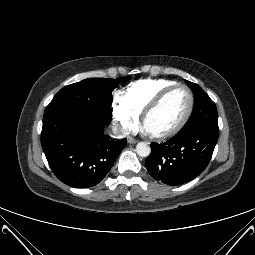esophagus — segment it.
Returning <instances> with one entry per match:
<instances>
[{
    "instance_id": "obj_1",
    "label": "esophagus",
    "mask_w": 255,
    "mask_h": 255,
    "mask_svg": "<svg viewBox=\"0 0 255 255\" xmlns=\"http://www.w3.org/2000/svg\"><path fill=\"white\" fill-rule=\"evenodd\" d=\"M127 142L130 143V144H135V143H137L138 141H137L136 139L132 138V137H128V138H127Z\"/></svg>"
}]
</instances>
